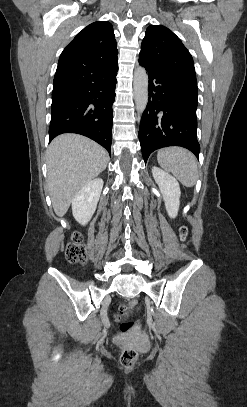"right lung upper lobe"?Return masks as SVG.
<instances>
[{
    "instance_id": "cb5924a9",
    "label": "right lung upper lobe",
    "mask_w": 247,
    "mask_h": 407,
    "mask_svg": "<svg viewBox=\"0 0 247 407\" xmlns=\"http://www.w3.org/2000/svg\"><path fill=\"white\" fill-rule=\"evenodd\" d=\"M117 54L111 23L97 21L88 25L60 55L53 92L70 88L94 70L117 62Z\"/></svg>"
}]
</instances>
